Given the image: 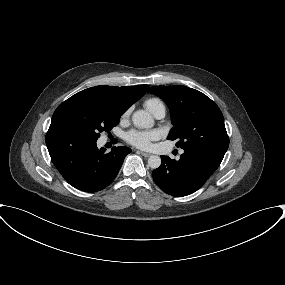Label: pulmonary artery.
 <instances>
[{
	"label": "pulmonary artery",
	"mask_w": 285,
	"mask_h": 285,
	"mask_svg": "<svg viewBox=\"0 0 285 285\" xmlns=\"http://www.w3.org/2000/svg\"><path fill=\"white\" fill-rule=\"evenodd\" d=\"M165 112L166 110L164 106H158L154 110H152L151 113L156 119H162L165 116Z\"/></svg>",
	"instance_id": "e3ab8cb5"
}]
</instances>
